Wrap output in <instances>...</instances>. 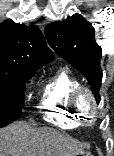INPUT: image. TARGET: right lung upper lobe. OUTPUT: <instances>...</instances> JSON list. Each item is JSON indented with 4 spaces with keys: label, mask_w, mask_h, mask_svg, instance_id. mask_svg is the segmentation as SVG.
Here are the masks:
<instances>
[{
    "label": "right lung upper lobe",
    "mask_w": 114,
    "mask_h": 156,
    "mask_svg": "<svg viewBox=\"0 0 114 156\" xmlns=\"http://www.w3.org/2000/svg\"><path fill=\"white\" fill-rule=\"evenodd\" d=\"M52 61L53 53L38 27L12 20L0 24V72L34 74Z\"/></svg>",
    "instance_id": "obj_1"
}]
</instances>
